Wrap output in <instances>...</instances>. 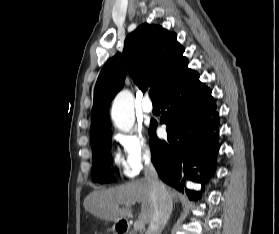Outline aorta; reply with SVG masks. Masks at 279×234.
I'll return each instance as SVG.
<instances>
[{
	"instance_id": "1",
	"label": "aorta",
	"mask_w": 279,
	"mask_h": 234,
	"mask_svg": "<svg viewBox=\"0 0 279 234\" xmlns=\"http://www.w3.org/2000/svg\"><path fill=\"white\" fill-rule=\"evenodd\" d=\"M111 117L114 125L122 130L129 131L134 126V101L133 96L128 90H123L115 97Z\"/></svg>"
}]
</instances>
